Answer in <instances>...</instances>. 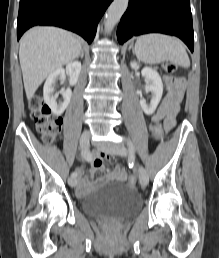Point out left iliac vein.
<instances>
[{
	"label": "left iliac vein",
	"mask_w": 219,
	"mask_h": 258,
	"mask_svg": "<svg viewBox=\"0 0 219 258\" xmlns=\"http://www.w3.org/2000/svg\"><path fill=\"white\" fill-rule=\"evenodd\" d=\"M103 150L110 154L120 156H126L128 154V150L124 146H109L104 147ZM138 178L141 186L145 187L148 184L147 172L141 165L138 166Z\"/></svg>",
	"instance_id": "1"
}]
</instances>
